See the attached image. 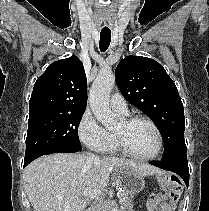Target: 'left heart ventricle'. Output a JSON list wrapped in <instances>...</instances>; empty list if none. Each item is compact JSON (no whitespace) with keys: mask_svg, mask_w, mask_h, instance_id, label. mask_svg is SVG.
Wrapping results in <instances>:
<instances>
[{"mask_svg":"<svg viewBox=\"0 0 209 211\" xmlns=\"http://www.w3.org/2000/svg\"><path fill=\"white\" fill-rule=\"evenodd\" d=\"M115 131L123 136L127 148L138 156H149L156 150V134L152 127L145 122L126 125L122 121Z\"/></svg>","mask_w":209,"mask_h":211,"instance_id":"obj_1","label":"left heart ventricle"}]
</instances>
